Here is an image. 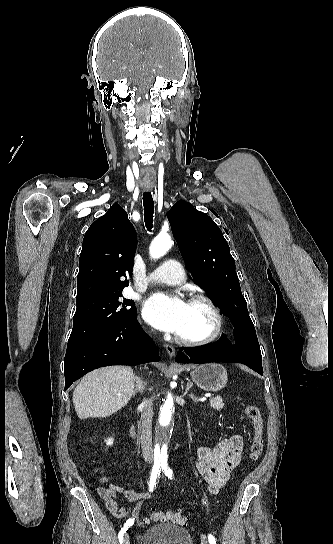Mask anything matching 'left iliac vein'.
<instances>
[{
    "mask_svg": "<svg viewBox=\"0 0 333 544\" xmlns=\"http://www.w3.org/2000/svg\"><path fill=\"white\" fill-rule=\"evenodd\" d=\"M201 544H209L208 540L204 535L201 536Z\"/></svg>",
    "mask_w": 333,
    "mask_h": 544,
    "instance_id": "4c4485c4",
    "label": "left iliac vein"
}]
</instances>
